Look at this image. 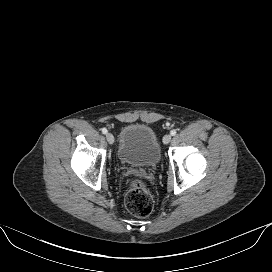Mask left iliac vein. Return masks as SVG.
<instances>
[{
	"label": "left iliac vein",
	"mask_w": 272,
	"mask_h": 272,
	"mask_svg": "<svg viewBox=\"0 0 272 272\" xmlns=\"http://www.w3.org/2000/svg\"><path fill=\"white\" fill-rule=\"evenodd\" d=\"M170 141H171V135L166 134V135L163 137V143H164V144H168Z\"/></svg>",
	"instance_id": "4c4485c4"
}]
</instances>
